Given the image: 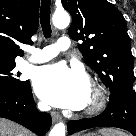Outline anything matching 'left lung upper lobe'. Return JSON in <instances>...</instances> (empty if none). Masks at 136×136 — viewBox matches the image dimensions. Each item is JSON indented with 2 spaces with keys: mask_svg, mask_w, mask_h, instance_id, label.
Wrapping results in <instances>:
<instances>
[{
  "mask_svg": "<svg viewBox=\"0 0 136 136\" xmlns=\"http://www.w3.org/2000/svg\"><path fill=\"white\" fill-rule=\"evenodd\" d=\"M71 14L69 36L110 92L133 89V56L126 21L107 0H62Z\"/></svg>",
  "mask_w": 136,
  "mask_h": 136,
  "instance_id": "1",
  "label": "left lung upper lobe"
}]
</instances>
